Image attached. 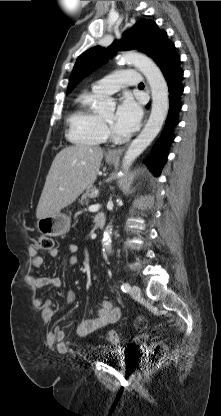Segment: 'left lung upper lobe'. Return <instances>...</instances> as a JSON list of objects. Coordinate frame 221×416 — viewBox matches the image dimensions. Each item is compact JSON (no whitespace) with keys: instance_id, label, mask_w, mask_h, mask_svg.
<instances>
[{"instance_id":"1","label":"left lung upper lobe","mask_w":221,"mask_h":416,"mask_svg":"<svg viewBox=\"0 0 221 416\" xmlns=\"http://www.w3.org/2000/svg\"><path fill=\"white\" fill-rule=\"evenodd\" d=\"M164 33L166 32L160 31L155 22L141 20L135 24L130 33L124 34L121 40L114 41L108 50L99 46L88 49L76 61L69 80L67 94L82 78L103 64L108 56L115 51L139 50L150 56Z\"/></svg>"}]
</instances>
